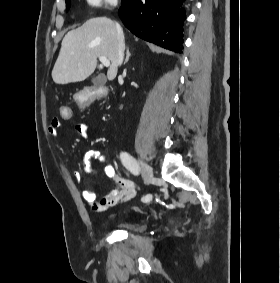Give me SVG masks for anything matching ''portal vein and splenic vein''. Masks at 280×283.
I'll return each instance as SVG.
<instances>
[{
	"label": "portal vein and splenic vein",
	"instance_id": "portal-vein-and-splenic-vein-1",
	"mask_svg": "<svg viewBox=\"0 0 280 283\" xmlns=\"http://www.w3.org/2000/svg\"><path fill=\"white\" fill-rule=\"evenodd\" d=\"M99 60L105 67H109L110 61L105 56H99Z\"/></svg>",
	"mask_w": 280,
	"mask_h": 283
}]
</instances>
